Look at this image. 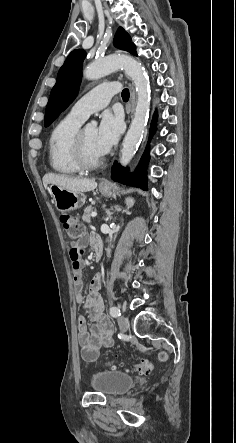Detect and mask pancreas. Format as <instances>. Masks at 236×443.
Here are the masks:
<instances>
[{"mask_svg": "<svg viewBox=\"0 0 236 443\" xmlns=\"http://www.w3.org/2000/svg\"><path fill=\"white\" fill-rule=\"evenodd\" d=\"M92 211H93V207H92V206H87V207L84 209V213H83V216H82V220H83L84 222H86V223H90V221H91V213H92Z\"/></svg>", "mask_w": 236, "mask_h": 443, "instance_id": "pancreas-1", "label": "pancreas"}]
</instances>
